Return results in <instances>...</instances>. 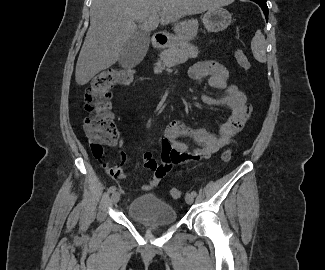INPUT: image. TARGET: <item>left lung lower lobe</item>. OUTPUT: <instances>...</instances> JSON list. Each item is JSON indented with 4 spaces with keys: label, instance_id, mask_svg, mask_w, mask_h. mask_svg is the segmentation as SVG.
<instances>
[{
    "label": "left lung lower lobe",
    "instance_id": "left-lung-lower-lobe-1",
    "mask_svg": "<svg viewBox=\"0 0 325 270\" xmlns=\"http://www.w3.org/2000/svg\"><path fill=\"white\" fill-rule=\"evenodd\" d=\"M252 1L256 2L262 8L266 20H268V7L266 4V0H252Z\"/></svg>",
    "mask_w": 325,
    "mask_h": 270
}]
</instances>
